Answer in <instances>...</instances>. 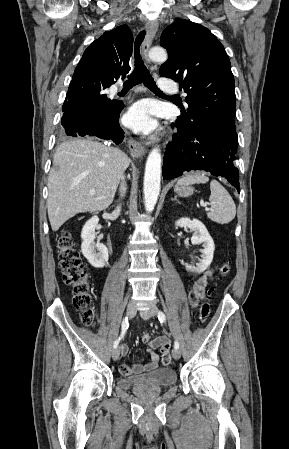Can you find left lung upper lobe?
Segmentation results:
<instances>
[{"mask_svg":"<svg viewBox=\"0 0 289 449\" xmlns=\"http://www.w3.org/2000/svg\"><path fill=\"white\" fill-rule=\"evenodd\" d=\"M160 44L169 54L160 75L179 81L187 93L185 124L207 121L236 131L234 76L228 55L205 27L178 19L162 33Z\"/></svg>","mask_w":289,"mask_h":449,"instance_id":"5c2ea615","label":"left lung upper lobe"}]
</instances>
